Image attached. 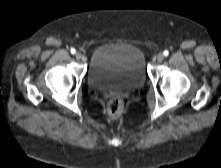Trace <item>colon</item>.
Segmentation results:
<instances>
[{
    "instance_id": "obj_1",
    "label": "colon",
    "mask_w": 221,
    "mask_h": 168,
    "mask_svg": "<svg viewBox=\"0 0 221 168\" xmlns=\"http://www.w3.org/2000/svg\"><path fill=\"white\" fill-rule=\"evenodd\" d=\"M123 109H124V104L123 100L120 97L115 96L109 100L108 112L110 115L118 117L122 114Z\"/></svg>"
}]
</instances>
